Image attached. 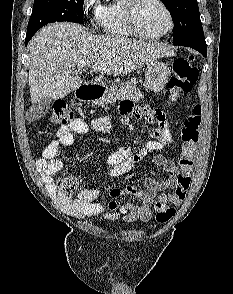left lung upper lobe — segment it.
I'll use <instances>...</instances> for the list:
<instances>
[{"label": "left lung upper lobe", "instance_id": "5c2ea615", "mask_svg": "<svg viewBox=\"0 0 233 294\" xmlns=\"http://www.w3.org/2000/svg\"><path fill=\"white\" fill-rule=\"evenodd\" d=\"M174 21L173 44L203 46L206 44L196 0H161Z\"/></svg>", "mask_w": 233, "mask_h": 294}]
</instances>
